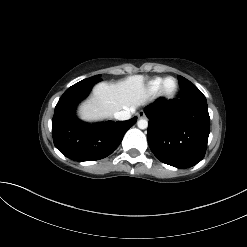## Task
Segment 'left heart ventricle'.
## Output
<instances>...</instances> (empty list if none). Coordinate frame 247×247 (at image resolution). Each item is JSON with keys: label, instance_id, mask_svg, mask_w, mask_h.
<instances>
[{"label": "left heart ventricle", "instance_id": "left-heart-ventricle-1", "mask_svg": "<svg viewBox=\"0 0 247 247\" xmlns=\"http://www.w3.org/2000/svg\"><path fill=\"white\" fill-rule=\"evenodd\" d=\"M174 87V81L173 80H168L167 83H166V89L168 91L172 90Z\"/></svg>", "mask_w": 247, "mask_h": 247}]
</instances>
